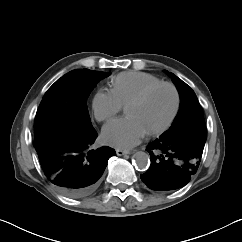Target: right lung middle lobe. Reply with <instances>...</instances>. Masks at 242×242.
<instances>
[{
	"label": "right lung middle lobe",
	"instance_id": "right-lung-middle-lobe-1",
	"mask_svg": "<svg viewBox=\"0 0 242 242\" xmlns=\"http://www.w3.org/2000/svg\"><path fill=\"white\" fill-rule=\"evenodd\" d=\"M109 73L76 69L58 79L45 93L35 117L34 134L52 126H91L86 100Z\"/></svg>",
	"mask_w": 242,
	"mask_h": 242
}]
</instances>
